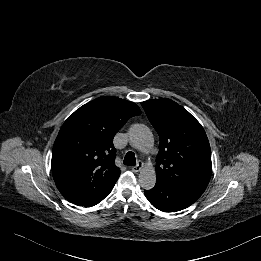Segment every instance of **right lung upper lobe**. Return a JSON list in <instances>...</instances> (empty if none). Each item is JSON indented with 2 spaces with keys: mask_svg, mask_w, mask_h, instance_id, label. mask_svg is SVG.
Listing matches in <instances>:
<instances>
[{
  "mask_svg": "<svg viewBox=\"0 0 261 261\" xmlns=\"http://www.w3.org/2000/svg\"><path fill=\"white\" fill-rule=\"evenodd\" d=\"M141 114L133 102L99 97L77 109L62 125L52 151V172L60 193L85 206L106 196L119 178L115 134Z\"/></svg>",
  "mask_w": 261,
  "mask_h": 261,
  "instance_id": "right-lung-upper-lobe-1",
  "label": "right lung upper lobe"
}]
</instances>
